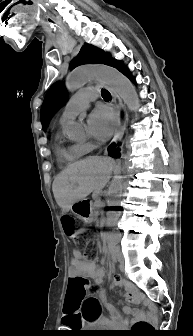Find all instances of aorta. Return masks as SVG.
<instances>
[{
    "label": "aorta",
    "mask_w": 193,
    "mask_h": 336,
    "mask_svg": "<svg viewBox=\"0 0 193 336\" xmlns=\"http://www.w3.org/2000/svg\"><path fill=\"white\" fill-rule=\"evenodd\" d=\"M92 79H99L110 85L128 109L137 112L140 108L135 87L132 83L115 68L106 65H85L75 68L67 78L66 88L68 91H75ZM68 137L73 141H78L84 136L83 126L78 122L69 123L67 130ZM123 190V181L120 176H116L110 186L109 206H117L119 197Z\"/></svg>",
    "instance_id": "1"
}]
</instances>
